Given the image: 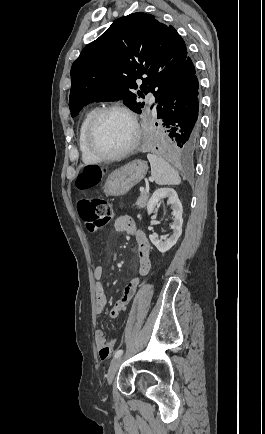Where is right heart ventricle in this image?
Returning <instances> with one entry per match:
<instances>
[{
  "label": "right heart ventricle",
  "instance_id": "1",
  "mask_svg": "<svg viewBox=\"0 0 265 434\" xmlns=\"http://www.w3.org/2000/svg\"><path fill=\"white\" fill-rule=\"evenodd\" d=\"M96 111L97 108L92 107L85 112L78 130L77 148L80 160L85 166H95L101 162L100 159L91 153L87 144L90 122Z\"/></svg>",
  "mask_w": 265,
  "mask_h": 434
}]
</instances>
